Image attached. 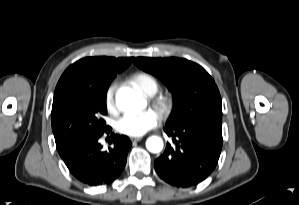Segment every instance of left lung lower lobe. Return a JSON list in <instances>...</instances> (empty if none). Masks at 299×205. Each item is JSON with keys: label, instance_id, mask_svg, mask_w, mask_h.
<instances>
[{"label": "left lung lower lobe", "instance_id": "left-lung-lower-lobe-1", "mask_svg": "<svg viewBox=\"0 0 299 205\" xmlns=\"http://www.w3.org/2000/svg\"><path fill=\"white\" fill-rule=\"evenodd\" d=\"M222 117L196 123L167 125L173 138L154 167L162 180L176 187H190L206 179L214 170L222 149Z\"/></svg>", "mask_w": 299, "mask_h": 205}]
</instances>
